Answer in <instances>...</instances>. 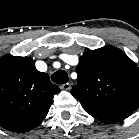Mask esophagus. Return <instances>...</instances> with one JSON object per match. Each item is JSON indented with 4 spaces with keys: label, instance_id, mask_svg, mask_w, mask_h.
I'll list each match as a JSON object with an SVG mask.
<instances>
[{
    "label": "esophagus",
    "instance_id": "esophagus-1",
    "mask_svg": "<svg viewBox=\"0 0 139 139\" xmlns=\"http://www.w3.org/2000/svg\"><path fill=\"white\" fill-rule=\"evenodd\" d=\"M60 88L62 90H70L71 89V85L69 83H65V84L61 85Z\"/></svg>",
    "mask_w": 139,
    "mask_h": 139
}]
</instances>
